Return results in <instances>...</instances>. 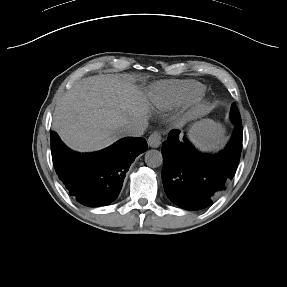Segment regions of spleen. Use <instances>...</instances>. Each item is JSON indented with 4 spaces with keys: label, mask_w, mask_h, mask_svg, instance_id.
<instances>
[{
    "label": "spleen",
    "mask_w": 287,
    "mask_h": 287,
    "mask_svg": "<svg viewBox=\"0 0 287 287\" xmlns=\"http://www.w3.org/2000/svg\"><path fill=\"white\" fill-rule=\"evenodd\" d=\"M225 132V128L220 123L204 119L190 128L189 139L202 151H214L224 146Z\"/></svg>",
    "instance_id": "1"
}]
</instances>
